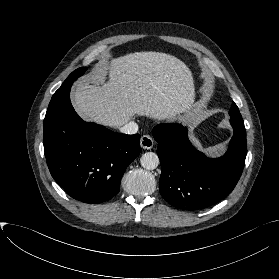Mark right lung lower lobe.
<instances>
[{
    "instance_id": "98d812e1",
    "label": "right lung lower lobe",
    "mask_w": 279,
    "mask_h": 279,
    "mask_svg": "<svg viewBox=\"0 0 279 279\" xmlns=\"http://www.w3.org/2000/svg\"><path fill=\"white\" fill-rule=\"evenodd\" d=\"M139 143V134H119L83 121L70 98L44 119L50 173L70 197L84 203H103L117 195L122 175L140 153Z\"/></svg>"
}]
</instances>
